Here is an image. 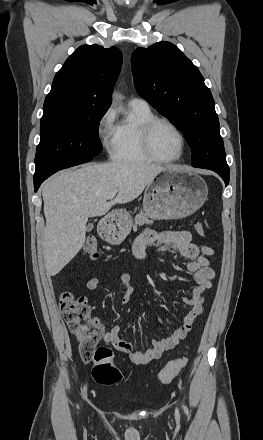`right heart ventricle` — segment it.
Listing matches in <instances>:
<instances>
[{
    "instance_id": "obj_1",
    "label": "right heart ventricle",
    "mask_w": 263,
    "mask_h": 440,
    "mask_svg": "<svg viewBox=\"0 0 263 440\" xmlns=\"http://www.w3.org/2000/svg\"><path fill=\"white\" fill-rule=\"evenodd\" d=\"M155 117L149 106L130 105V115L117 125L116 138L111 156L120 162L151 161L143 152L140 144V127Z\"/></svg>"
}]
</instances>
